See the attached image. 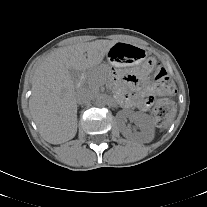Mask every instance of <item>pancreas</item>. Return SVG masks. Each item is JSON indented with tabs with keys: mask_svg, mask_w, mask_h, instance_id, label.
Instances as JSON below:
<instances>
[{
	"mask_svg": "<svg viewBox=\"0 0 207 207\" xmlns=\"http://www.w3.org/2000/svg\"><path fill=\"white\" fill-rule=\"evenodd\" d=\"M107 80L106 66L96 68L89 76L88 86L92 90H97L98 87Z\"/></svg>",
	"mask_w": 207,
	"mask_h": 207,
	"instance_id": "obj_1",
	"label": "pancreas"
}]
</instances>
